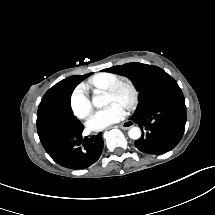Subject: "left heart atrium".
Wrapping results in <instances>:
<instances>
[{
  "mask_svg": "<svg viewBox=\"0 0 215 215\" xmlns=\"http://www.w3.org/2000/svg\"><path fill=\"white\" fill-rule=\"evenodd\" d=\"M123 116L124 109L121 106L107 107L96 115H92L89 118V125L96 130H101L104 126L119 122Z\"/></svg>",
  "mask_w": 215,
  "mask_h": 215,
  "instance_id": "39dd6f15",
  "label": "left heart atrium"
}]
</instances>
